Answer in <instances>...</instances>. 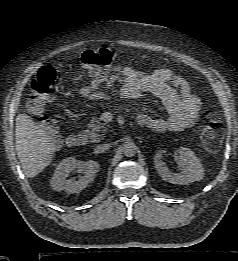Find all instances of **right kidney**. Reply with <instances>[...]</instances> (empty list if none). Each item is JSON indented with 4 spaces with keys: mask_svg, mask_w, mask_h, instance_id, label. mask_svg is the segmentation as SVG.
I'll use <instances>...</instances> for the list:
<instances>
[{
    "mask_svg": "<svg viewBox=\"0 0 238 261\" xmlns=\"http://www.w3.org/2000/svg\"><path fill=\"white\" fill-rule=\"evenodd\" d=\"M75 170L83 173L84 176L78 181L67 179L70 172ZM98 170L99 164L96 161H80L73 157H68L58 164L50 184L56 191L65 190L68 193H77L94 180Z\"/></svg>",
    "mask_w": 238,
    "mask_h": 261,
    "instance_id": "ca27d5eb",
    "label": "right kidney"
}]
</instances>
